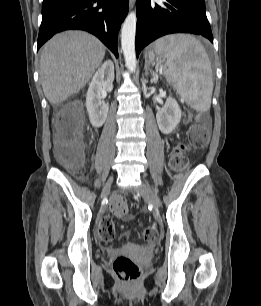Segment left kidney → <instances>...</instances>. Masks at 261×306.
<instances>
[{"mask_svg": "<svg viewBox=\"0 0 261 306\" xmlns=\"http://www.w3.org/2000/svg\"><path fill=\"white\" fill-rule=\"evenodd\" d=\"M157 124L163 134H170L181 120V109L177 101L169 96L165 105L156 114Z\"/></svg>", "mask_w": 261, "mask_h": 306, "instance_id": "1", "label": "left kidney"}]
</instances>
